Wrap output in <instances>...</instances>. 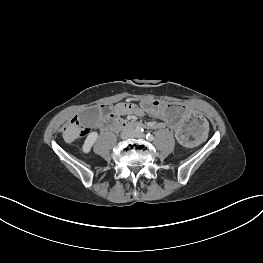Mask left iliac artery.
<instances>
[{"mask_svg":"<svg viewBox=\"0 0 263 263\" xmlns=\"http://www.w3.org/2000/svg\"><path fill=\"white\" fill-rule=\"evenodd\" d=\"M146 139L149 140V141H152V140L154 139V137H153L152 134L148 133V134L146 135Z\"/></svg>","mask_w":263,"mask_h":263,"instance_id":"1","label":"left iliac artery"}]
</instances>
